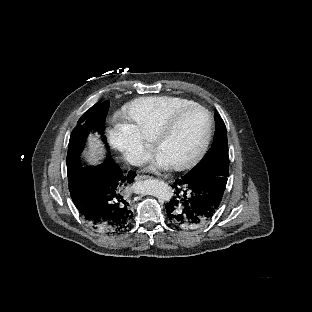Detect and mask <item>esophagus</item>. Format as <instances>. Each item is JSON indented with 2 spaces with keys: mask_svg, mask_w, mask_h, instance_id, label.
<instances>
[{
  "mask_svg": "<svg viewBox=\"0 0 312 312\" xmlns=\"http://www.w3.org/2000/svg\"><path fill=\"white\" fill-rule=\"evenodd\" d=\"M153 179V177L149 176V175H137L136 176V181L139 180H150Z\"/></svg>",
  "mask_w": 312,
  "mask_h": 312,
  "instance_id": "1",
  "label": "esophagus"
}]
</instances>
